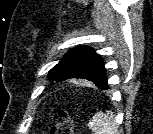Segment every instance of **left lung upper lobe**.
<instances>
[{
  "label": "left lung upper lobe",
  "mask_w": 153,
  "mask_h": 134,
  "mask_svg": "<svg viewBox=\"0 0 153 134\" xmlns=\"http://www.w3.org/2000/svg\"><path fill=\"white\" fill-rule=\"evenodd\" d=\"M49 80L61 82L67 79H86L92 81L98 88L108 86L101 56L89 47L74 48L54 66L49 74Z\"/></svg>",
  "instance_id": "1"
}]
</instances>
